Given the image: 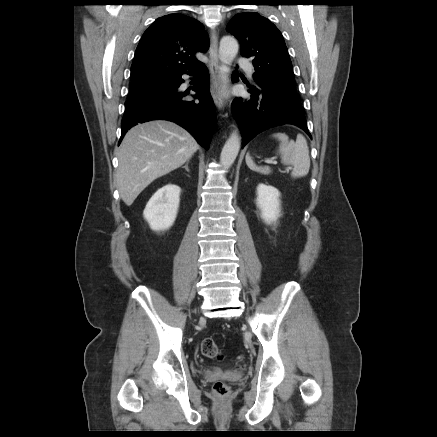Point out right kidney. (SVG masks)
I'll use <instances>...</instances> for the list:
<instances>
[{
	"label": "right kidney",
	"instance_id": "ca27d5eb",
	"mask_svg": "<svg viewBox=\"0 0 437 437\" xmlns=\"http://www.w3.org/2000/svg\"><path fill=\"white\" fill-rule=\"evenodd\" d=\"M181 189L167 184L158 189L148 201L143 216L150 228L156 232L168 230L177 216Z\"/></svg>",
	"mask_w": 437,
	"mask_h": 437
}]
</instances>
